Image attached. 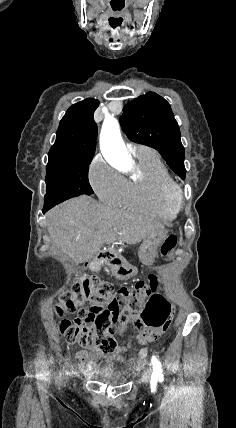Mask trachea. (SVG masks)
Here are the masks:
<instances>
[{
  "instance_id": "3493384b",
  "label": "trachea",
  "mask_w": 236,
  "mask_h": 428,
  "mask_svg": "<svg viewBox=\"0 0 236 428\" xmlns=\"http://www.w3.org/2000/svg\"><path fill=\"white\" fill-rule=\"evenodd\" d=\"M112 28H113V29H116V28H117V25H116V24H113V25H112Z\"/></svg>"
}]
</instances>
